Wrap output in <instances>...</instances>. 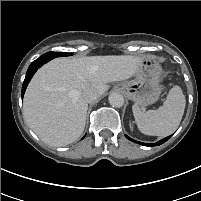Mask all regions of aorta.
Listing matches in <instances>:
<instances>
[{
    "label": "aorta",
    "instance_id": "aorta-1",
    "mask_svg": "<svg viewBox=\"0 0 201 201\" xmlns=\"http://www.w3.org/2000/svg\"><path fill=\"white\" fill-rule=\"evenodd\" d=\"M109 103L113 107H122L124 104V98L119 93H111L108 97Z\"/></svg>",
    "mask_w": 201,
    "mask_h": 201
}]
</instances>
